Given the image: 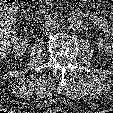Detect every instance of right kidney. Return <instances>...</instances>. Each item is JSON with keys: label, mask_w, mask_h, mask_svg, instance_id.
<instances>
[{"label": "right kidney", "mask_w": 113, "mask_h": 113, "mask_svg": "<svg viewBox=\"0 0 113 113\" xmlns=\"http://www.w3.org/2000/svg\"><path fill=\"white\" fill-rule=\"evenodd\" d=\"M27 43L28 42H27L26 39L21 41V42H19V43H16V45L14 46V53L17 56L23 55L26 52V50H27V46H28Z\"/></svg>", "instance_id": "1"}]
</instances>
